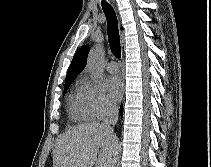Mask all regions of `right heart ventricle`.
Instances as JSON below:
<instances>
[{
  "mask_svg": "<svg viewBox=\"0 0 211 167\" xmlns=\"http://www.w3.org/2000/svg\"><path fill=\"white\" fill-rule=\"evenodd\" d=\"M81 87L82 84L77 83L74 91L69 96L68 114L76 121H86L90 119L84 104Z\"/></svg>",
  "mask_w": 211,
  "mask_h": 167,
  "instance_id": "e07e8e85",
  "label": "right heart ventricle"
}]
</instances>
